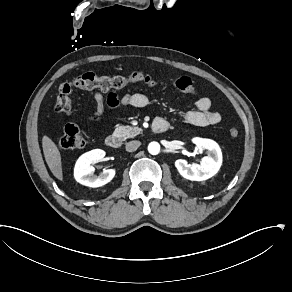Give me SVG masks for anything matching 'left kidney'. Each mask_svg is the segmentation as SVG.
<instances>
[{
    "mask_svg": "<svg viewBox=\"0 0 292 292\" xmlns=\"http://www.w3.org/2000/svg\"><path fill=\"white\" fill-rule=\"evenodd\" d=\"M198 152H205L207 156L201 159L200 165L188 164L186 159L175 161V167L179 174L191 181H205L217 174L222 163V154L219 146L212 140L195 139Z\"/></svg>",
    "mask_w": 292,
    "mask_h": 292,
    "instance_id": "5707ae66",
    "label": "left kidney"
}]
</instances>
